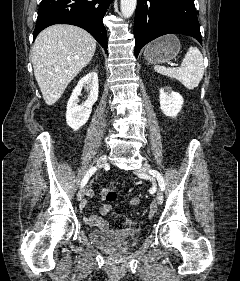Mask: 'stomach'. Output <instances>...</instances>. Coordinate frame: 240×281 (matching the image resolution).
I'll list each match as a JSON object with an SVG mask.
<instances>
[{"label": "stomach", "mask_w": 240, "mask_h": 281, "mask_svg": "<svg viewBox=\"0 0 240 281\" xmlns=\"http://www.w3.org/2000/svg\"><path fill=\"white\" fill-rule=\"evenodd\" d=\"M180 47L175 35H167L148 44L144 49V57L151 64L165 63L177 56Z\"/></svg>", "instance_id": "1"}]
</instances>
